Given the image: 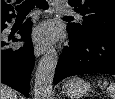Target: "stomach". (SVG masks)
<instances>
[{"label":"stomach","mask_w":115,"mask_h":99,"mask_svg":"<svg viewBox=\"0 0 115 99\" xmlns=\"http://www.w3.org/2000/svg\"><path fill=\"white\" fill-rule=\"evenodd\" d=\"M90 90V84L81 78H71L63 85V92L71 99H78Z\"/></svg>","instance_id":"stomach-1"}]
</instances>
